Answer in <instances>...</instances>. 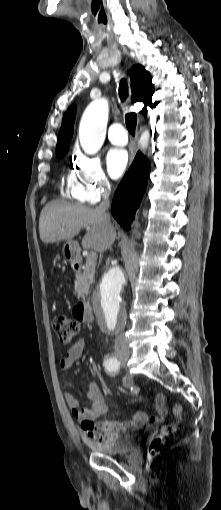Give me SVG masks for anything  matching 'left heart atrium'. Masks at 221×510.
I'll list each match as a JSON object with an SVG mask.
<instances>
[{
  "label": "left heart atrium",
  "mask_w": 221,
  "mask_h": 510,
  "mask_svg": "<svg viewBox=\"0 0 221 510\" xmlns=\"http://www.w3.org/2000/svg\"><path fill=\"white\" fill-rule=\"evenodd\" d=\"M107 165L110 175L119 178L128 166L127 152L122 149H111L107 155Z\"/></svg>",
  "instance_id": "39dd6f15"
}]
</instances>
